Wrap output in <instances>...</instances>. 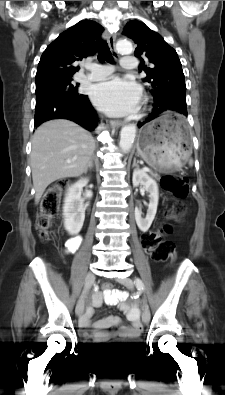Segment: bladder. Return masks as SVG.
<instances>
[{"mask_svg": "<svg viewBox=\"0 0 225 395\" xmlns=\"http://www.w3.org/2000/svg\"><path fill=\"white\" fill-rule=\"evenodd\" d=\"M95 345V344H92ZM142 347V340L136 338L130 341H126L120 344V351L124 356L134 354L138 352Z\"/></svg>", "mask_w": 225, "mask_h": 395, "instance_id": "obj_1", "label": "bladder"}]
</instances>
